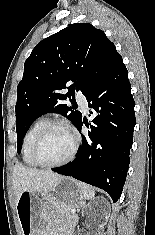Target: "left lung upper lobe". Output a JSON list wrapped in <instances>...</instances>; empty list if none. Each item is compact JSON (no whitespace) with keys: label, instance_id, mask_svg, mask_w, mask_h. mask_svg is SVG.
<instances>
[{"label":"left lung upper lobe","instance_id":"5c2ea615","mask_svg":"<svg viewBox=\"0 0 155 235\" xmlns=\"http://www.w3.org/2000/svg\"><path fill=\"white\" fill-rule=\"evenodd\" d=\"M119 57L105 33L89 23H74L39 42L25 61L17 87V151L31 124L45 113H60L77 126L82 114L65 101L74 98L75 91L87 96Z\"/></svg>","mask_w":155,"mask_h":235}]
</instances>
